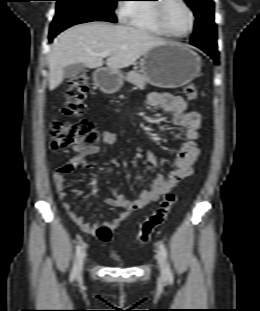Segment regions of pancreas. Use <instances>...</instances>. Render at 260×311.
<instances>
[{"label": "pancreas", "instance_id": "cf45deb5", "mask_svg": "<svg viewBox=\"0 0 260 311\" xmlns=\"http://www.w3.org/2000/svg\"><path fill=\"white\" fill-rule=\"evenodd\" d=\"M125 79L141 90L145 88L146 82L148 81L143 74H140L137 71H130Z\"/></svg>", "mask_w": 260, "mask_h": 311}]
</instances>
